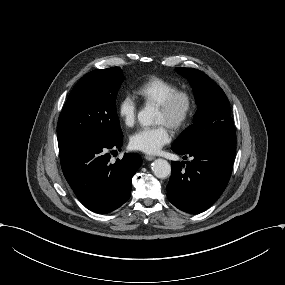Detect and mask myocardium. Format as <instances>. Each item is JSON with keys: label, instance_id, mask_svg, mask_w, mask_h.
<instances>
[{"label": "myocardium", "instance_id": "1", "mask_svg": "<svg viewBox=\"0 0 285 285\" xmlns=\"http://www.w3.org/2000/svg\"><path fill=\"white\" fill-rule=\"evenodd\" d=\"M183 98L184 107L176 113L175 107L177 101ZM195 107V97L193 92L188 88L174 89L163 101L157 104L162 112L170 116L169 126L172 129H179L190 119Z\"/></svg>", "mask_w": 285, "mask_h": 285}]
</instances>
